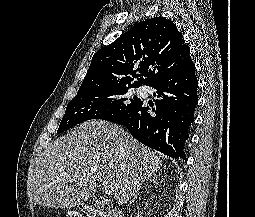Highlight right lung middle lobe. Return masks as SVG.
I'll list each match as a JSON object with an SVG mask.
<instances>
[{
    "mask_svg": "<svg viewBox=\"0 0 255 217\" xmlns=\"http://www.w3.org/2000/svg\"><path fill=\"white\" fill-rule=\"evenodd\" d=\"M131 88L121 87L78 92L68 103L57 133L91 119L112 120L132 111L141 100L131 95Z\"/></svg>",
    "mask_w": 255,
    "mask_h": 217,
    "instance_id": "obj_1",
    "label": "right lung middle lobe"
}]
</instances>
